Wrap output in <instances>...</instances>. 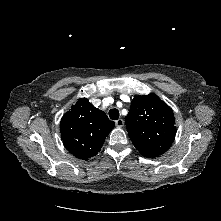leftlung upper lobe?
<instances>
[{"label":"left lung upper lobe","instance_id":"1","mask_svg":"<svg viewBox=\"0 0 221 221\" xmlns=\"http://www.w3.org/2000/svg\"><path fill=\"white\" fill-rule=\"evenodd\" d=\"M125 123L133 145L145 157L165 153L176 135L172 109L155 94L134 97Z\"/></svg>","mask_w":221,"mask_h":221}]
</instances>
